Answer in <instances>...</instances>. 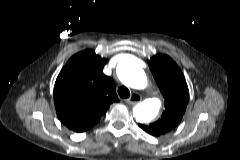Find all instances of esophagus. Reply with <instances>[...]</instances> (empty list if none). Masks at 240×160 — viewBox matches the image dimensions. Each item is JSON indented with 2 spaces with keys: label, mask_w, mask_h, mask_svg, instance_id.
<instances>
[{
  "label": "esophagus",
  "mask_w": 240,
  "mask_h": 160,
  "mask_svg": "<svg viewBox=\"0 0 240 160\" xmlns=\"http://www.w3.org/2000/svg\"><path fill=\"white\" fill-rule=\"evenodd\" d=\"M141 101V96L138 93H133L125 102L129 105H136Z\"/></svg>",
  "instance_id": "obj_1"
}]
</instances>
